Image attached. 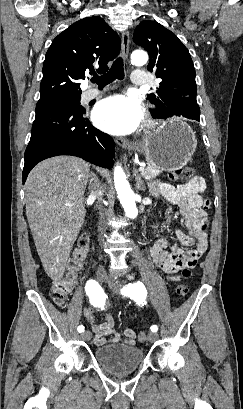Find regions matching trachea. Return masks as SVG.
Segmentation results:
<instances>
[{
	"mask_svg": "<svg viewBox=\"0 0 243 409\" xmlns=\"http://www.w3.org/2000/svg\"><path fill=\"white\" fill-rule=\"evenodd\" d=\"M124 78V64H123V59L121 57L117 58L110 70L101 75L97 76L95 75L92 79V83H97L98 86L103 87L111 82H113L115 79L122 80Z\"/></svg>",
	"mask_w": 243,
	"mask_h": 409,
	"instance_id": "trachea-1",
	"label": "trachea"
}]
</instances>
